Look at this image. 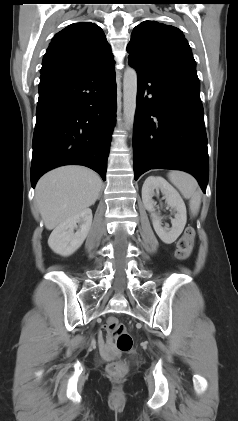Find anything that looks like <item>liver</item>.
<instances>
[{"label":"liver","mask_w":238,"mask_h":421,"mask_svg":"<svg viewBox=\"0 0 238 421\" xmlns=\"http://www.w3.org/2000/svg\"><path fill=\"white\" fill-rule=\"evenodd\" d=\"M101 186L98 174L82 166H64L46 173L35 191L45 227L52 230L93 205Z\"/></svg>","instance_id":"liver-1"}]
</instances>
